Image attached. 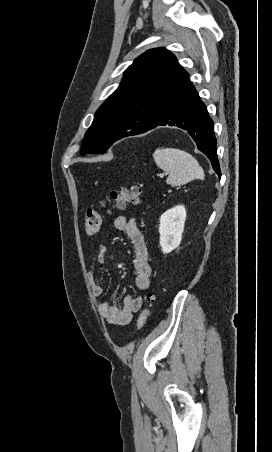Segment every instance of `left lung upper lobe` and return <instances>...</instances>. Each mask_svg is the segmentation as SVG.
<instances>
[{"label":"left lung upper lobe","instance_id":"left-lung-upper-lobe-1","mask_svg":"<svg viewBox=\"0 0 272 452\" xmlns=\"http://www.w3.org/2000/svg\"><path fill=\"white\" fill-rule=\"evenodd\" d=\"M188 76L165 48L143 53L125 70L119 87L96 111L85 133L81 155L104 153L117 140L146 130Z\"/></svg>","mask_w":272,"mask_h":452}]
</instances>
